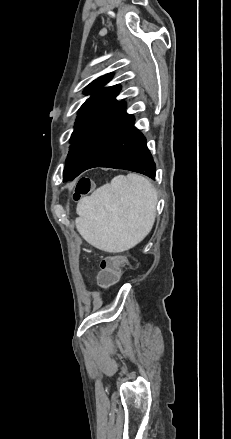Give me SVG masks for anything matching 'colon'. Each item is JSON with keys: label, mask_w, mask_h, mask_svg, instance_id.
I'll return each mask as SVG.
<instances>
[{"label": "colon", "mask_w": 231, "mask_h": 439, "mask_svg": "<svg viewBox=\"0 0 231 439\" xmlns=\"http://www.w3.org/2000/svg\"><path fill=\"white\" fill-rule=\"evenodd\" d=\"M92 183L89 178L83 177L77 182L73 199L80 200L83 196L90 193ZM127 259L123 255H110L104 257L99 264L100 273H97L96 280L99 282L103 293H110L111 287L119 285L121 280V270L126 266Z\"/></svg>", "instance_id": "5ec220e1"}]
</instances>
